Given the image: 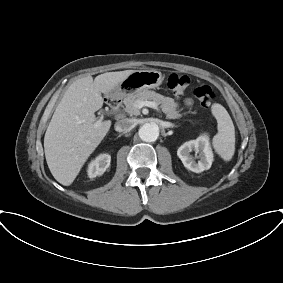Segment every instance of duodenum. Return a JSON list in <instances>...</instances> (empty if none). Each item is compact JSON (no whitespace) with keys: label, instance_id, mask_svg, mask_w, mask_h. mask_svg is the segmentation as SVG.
Returning <instances> with one entry per match:
<instances>
[{"label":"duodenum","instance_id":"1","mask_svg":"<svg viewBox=\"0 0 283 283\" xmlns=\"http://www.w3.org/2000/svg\"><path fill=\"white\" fill-rule=\"evenodd\" d=\"M120 103L121 101L119 96H112L107 99V105L113 113H116L118 111Z\"/></svg>","mask_w":283,"mask_h":283}]
</instances>
